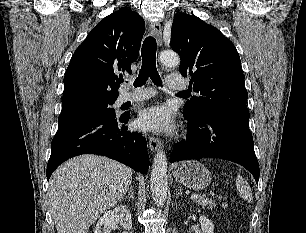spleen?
<instances>
[{
  "instance_id": "3e777b00",
  "label": "spleen",
  "mask_w": 306,
  "mask_h": 233,
  "mask_svg": "<svg viewBox=\"0 0 306 233\" xmlns=\"http://www.w3.org/2000/svg\"><path fill=\"white\" fill-rule=\"evenodd\" d=\"M236 188L241 198L246 200L248 203L253 202L251 188L248 185L247 181L240 174H238L236 178Z\"/></svg>"
}]
</instances>
